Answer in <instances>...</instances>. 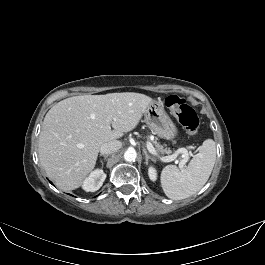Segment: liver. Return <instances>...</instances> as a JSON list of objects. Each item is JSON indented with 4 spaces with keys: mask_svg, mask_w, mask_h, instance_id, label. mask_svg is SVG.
Wrapping results in <instances>:
<instances>
[{
    "mask_svg": "<svg viewBox=\"0 0 265 265\" xmlns=\"http://www.w3.org/2000/svg\"><path fill=\"white\" fill-rule=\"evenodd\" d=\"M152 101L124 92L74 96L55 104L39 135V160L47 176L65 192L81 186L101 146L133 130Z\"/></svg>",
    "mask_w": 265,
    "mask_h": 265,
    "instance_id": "obj_1",
    "label": "liver"
}]
</instances>
